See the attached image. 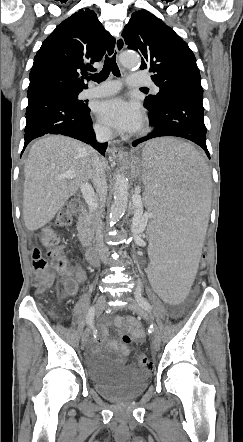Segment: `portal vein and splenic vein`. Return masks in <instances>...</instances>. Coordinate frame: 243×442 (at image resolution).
Segmentation results:
<instances>
[{
    "instance_id": "18ae733b",
    "label": "portal vein and splenic vein",
    "mask_w": 243,
    "mask_h": 442,
    "mask_svg": "<svg viewBox=\"0 0 243 442\" xmlns=\"http://www.w3.org/2000/svg\"><path fill=\"white\" fill-rule=\"evenodd\" d=\"M75 176H76L75 171H67V172L59 175L57 178L58 179H65V178L66 179H73ZM81 192H82L86 202L89 204V206L91 208H93L94 207V205H93V191H92V187L90 186V184L84 183L81 186ZM136 197H140V196L136 195Z\"/></svg>"
}]
</instances>
